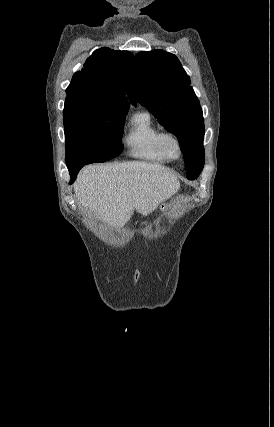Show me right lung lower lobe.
<instances>
[{
    "instance_id": "right-lung-lower-lobe-1",
    "label": "right lung lower lobe",
    "mask_w": 274,
    "mask_h": 427,
    "mask_svg": "<svg viewBox=\"0 0 274 427\" xmlns=\"http://www.w3.org/2000/svg\"><path fill=\"white\" fill-rule=\"evenodd\" d=\"M83 166H84V165H82V164H80V165H70V166H67V167H68V170H69V173H70V176H71L70 184H72V183L75 181L76 176H77V174H78L79 170H80Z\"/></svg>"
}]
</instances>
